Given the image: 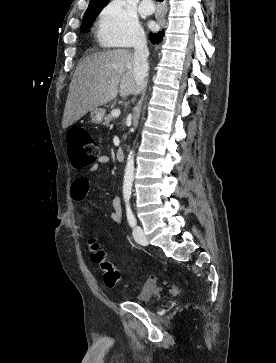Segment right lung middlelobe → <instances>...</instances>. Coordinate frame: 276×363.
Returning <instances> with one entry per match:
<instances>
[{
	"instance_id": "right-lung-middle-lobe-1",
	"label": "right lung middle lobe",
	"mask_w": 276,
	"mask_h": 363,
	"mask_svg": "<svg viewBox=\"0 0 276 363\" xmlns=\"http://www.w3.org/2000/svg\"><path fill=\"white\" fill-rule=\"evenodd\" d=\"M104 5L103 4H91L86 10L83 21L81 24L80 31L86 33L90 30L93 22L95 21L98 14L102 11Z\"/></svg>"
}]
</instances>
